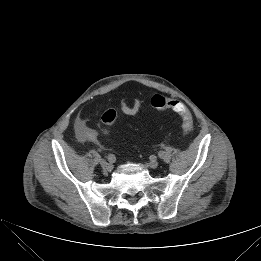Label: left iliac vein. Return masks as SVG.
Returning a JSON list of instances; mask_svg holds the SVG:
<instances>
[{
  "instance_id": "obj_1",
  "label": "left iliac vein",
  "mask_w": 261,
  "mask_h": 261,
  "mask_svg": "<svg viewBox=\"0 0 261 261\" xmlns=\"http://www.w3.org/2000/svg\"><path fill=\"white\" fill-rule=\"evenodd\" d=\"M158 165H159V163L156 159H153L148 163V166L151 168H157Z\"/></svg>"
}]
</instances>
